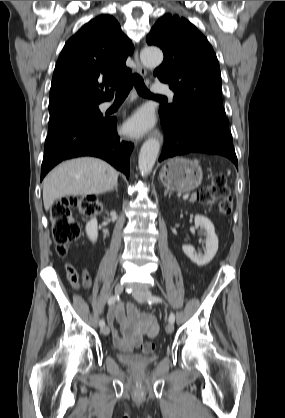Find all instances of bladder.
<instances>
[{
  "mask_svg": "<svg viewBox=\"0 0 285 418\" xmlns=\"http://www.w3.org/2000/svg\"><path fill=\"white\" fill-rule=\"evenodd\" d=\"M118 360L128 366L142 368L152 365L156 360V356L151 353H138L135 351H118Z\"/></svg>",
  "mask_w": 285,
  "mask_h": 418,
  "instance_id": "obj_1",
  "label": "bladder"
}]
</instances>
